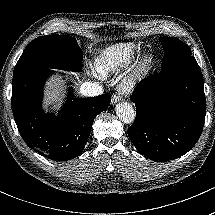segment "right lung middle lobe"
I'll use <instances>...</instances> for the list:
<instances>
[{"label":"right lung middle lobe","instance_id":"dd1d6c3e","mask_svg":"<svg viewBox=\"0 0 215 215\" xmlns=\"http://www.w3.org/2000/svg\"><path fill=\"white\" fill-rule=\"evenodd\" d=\"M83 52L75 39L65 35L41 36L30 42L19 58L13 76L29 69L81 71Z\"/></svg>","mask_w":215,"mask_h":215}]
</instances>
